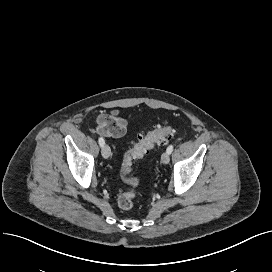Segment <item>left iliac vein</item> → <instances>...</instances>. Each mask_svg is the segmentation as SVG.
<instances>
[{"instance_id":"obj_1","label":"left iliac vein","mask_w":272,"mask_h":272,"mask_svg":"<svg viewBox=\"0 0 272 272\" xmlns=\"http://www.w3.org/2000/svg\"><path fill=\"white\" fill-rule=\"evenodd\" d=\"M161 161L163 164H168L170 161V154L166 151L161 156Z\"/></svg>"}]
</instances>
